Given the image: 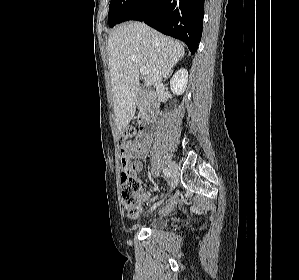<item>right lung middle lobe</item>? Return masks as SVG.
<instances>
[{"instance_id":"1","label":"right lung middle lobe","mask_w":299,"mask_h":280,"mask_svg":"<svg viewBox=\"0 0 299 280\" xmlns=\"http://www.w3.org/2000/svg\"><path fill=\"white\" fill-rule=\"evenodd\" d=\"M138 0H111L109 6V26L121 23L123 16L134 6Z\"/></svg>"}]
</instances>
